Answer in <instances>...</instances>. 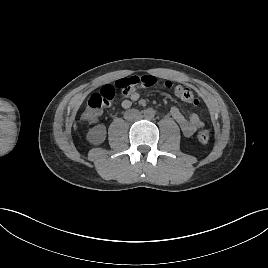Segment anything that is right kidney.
<instances>
[{
    "label": "right kidney",
    "mask_w": 268,
    "mask_h": 268,
    "mask_svg": "<svg viewBox=\"0 0 268 268\" xmlns=\"http://www.w3.org/2000/svg\"><path fill=\"white\" fill-rule=\"evenodd\" d=\"M87 140L92 144H101L106 138V127L104 125H97L91 128L87 133Z\"/></svg>",
    "instance_id": "obj_1"
}]
</instances>
